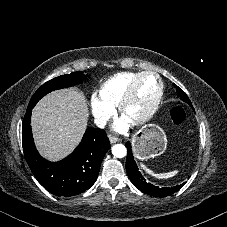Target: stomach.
Wrapping results in <instances>:
<instances>
[{"instance_id": "0dacf381", "label": "stomach", "mask_w": 227, "mask_h": 227, "mask_svg": "<svg viewBox=\"0 0 227 227\" xmlns=\"http://www.w3.org/2000/svg\"><path fill=\"white\" fill-rule=\"evenodd\" d=\"M132 146L138 159L148 160L164 153L167 147V137L160 126L149 124L134 134Z\"/></svg>"}]
</instances>
